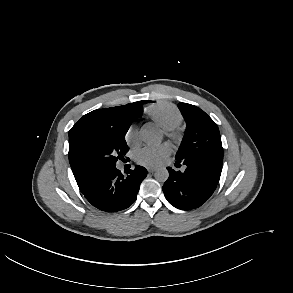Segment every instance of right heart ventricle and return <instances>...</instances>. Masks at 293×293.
Segmentation results:
<instances>
[{
  "label": "right heart ventricle",
  "mask_w": 293,
  "mask_h": 293,
  "mask_svg": "<svg viewBox=\"0 0 293 293\" xmlns=\"http://www.w3.org/2000/svg\"><path fill=\"white\" fill-rule=\"evenodd\" d=\"M148 117L164 130H171L178 128L183 116L180 111L172 104L160 102L150 106L146 110Z\"/></svg>",
  "instance_id": "1"
}]
</instances>
